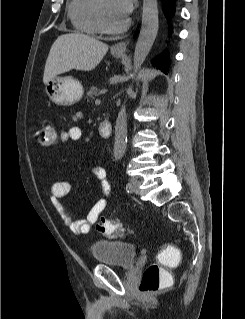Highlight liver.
Returning a JSON list of instances; mask_svg holds the SVG:
<instances>
[{
	"mask_svg": "<svg viewBox=\"0 0 245 319\" xmlns=\"http://www.w3.org/2000/svg\"><path fill=\"white\" fill-rule=\"evenodd\" d=\"M108 45L81 33L60 35L53 43L46 60L43 82L72 69L91 71L103 59Z\"/></svg>",
	"mask_w": 245,
	"mask_h": 319,
	"instance_id": "obj_1",
	"label": "liver"
}]
</instances>
